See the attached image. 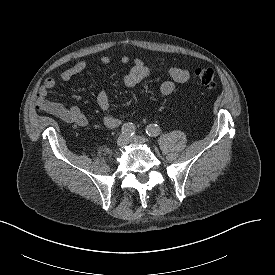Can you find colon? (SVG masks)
<instances>
[{
    "instance_id": "1",
    "label": "colon",
    "mask_w": 275,
    "mask_h": 275,
    "mask_svg": "<svg viewBox=\"0 0 275 275\" xmlns=\"http://www.w3.org/2000/svg\"><path fill=\"white\" fill-rule=\"evenodd\" d=\"M195 75L200 84L206 88H214L216 85L215 71L209 67L196 69Z\"/></svg>"
}]
</instances>
